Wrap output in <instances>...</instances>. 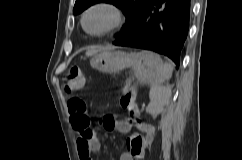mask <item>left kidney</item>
Segmentation results:
<instances>
[{"instance_id": "1", "label": "left kidney", "mask_w": 242, "mask_h": 160, "mask_svg": "<svg viewBox=\"0 0 242 160\" xmlns=\"http://www.w3.org/2000/svg\"><path fill=\"white\" fill-rule=\"evenodd\" d=\"M166 104H167V102H165V105H166ZM165 105H164V106H165ZM164 106H163V107H164ZM163 107H162V108H163ZM153 115H154V117H156V113H155V114H153Z\"/></svg>"}]
</instances>
